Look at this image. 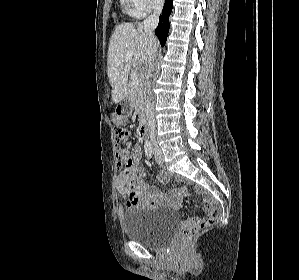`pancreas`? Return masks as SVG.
Returning a JSON list of instances; mask_svg holds the SVG:
<instances>
[{
    "label": "pancreas",
    "instance_id": "1",
    "mask_svg": "<svg viewBox=\"0 0 299 280\" xmlns=\"http://www.w3.org/2000/svg\"><path fill=\"white\" fill-rule=\"evenodd\" d=\"M128 100L130 102L131 108L135 109L139 114L143 113L144 110V98H143V88L132 87L129 91Z\"/></svg>",
    "mask_w": 299,
    "mask_h": 280
}]
</instances>
